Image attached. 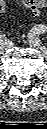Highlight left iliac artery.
<instances>
[{"label": "left iliac artery", "mask_w": 47, "mask_h": 129, "mask_svg": "<svg viewBox=\"0 0 47 129\" xmlns=\"http://www.w3.org/2000/svg\"><path fill=\"white\" fill-rule=\"evenodd\" d=\"M46 31V27L44 25H37L31 30V36L33 35H41Z\"/></svg>", "instance_id": "44dca946"}]
</instances>
